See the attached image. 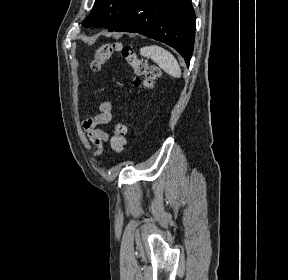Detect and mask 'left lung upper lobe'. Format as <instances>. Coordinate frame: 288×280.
<instances>
[{"mask_svg": "<svg viewBox=\"0 0 288 280\" xmlns=\"http://www.w3.org/2000/svg\"><path fill=\"white\" fill-rule=\"evenodd\" d=\"M138 0H95L94 8L84 21L85 27H105L109 32Z\"/></svg>", "mask_w": 288, "mask_h": 280, "instance_id": "obj_1", "label": "left lung upper lobe"}]
</instances>
